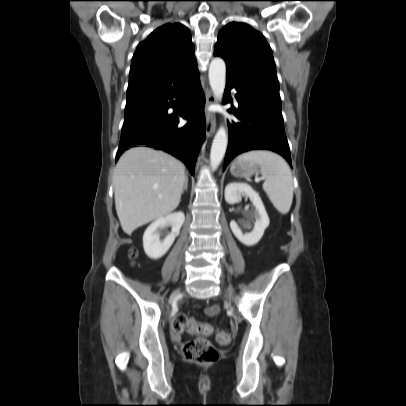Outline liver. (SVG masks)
Returning a JSON list of instances; mask_svg holds the SVG:
<instances>
[{"mask_svg":"<svg viewBox=\"0 0 406 406\" xmlns=\"http://www.w3.org/2000/svg\"><path fill=\"white\" fill-rule=\"evenodd\" d=\"M185 166L176 158L147 147H135L119 159L113 176L116 212L123 231L163 218L177 208Z\"/></svg>","mask_w":406,"mask_h":406,"instance_id":"6515ba94","label":"liver"}]
</instances>
